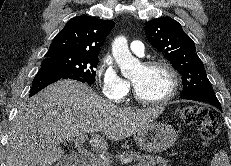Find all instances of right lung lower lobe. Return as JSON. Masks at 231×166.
<instances>
[{"label":"right lung lower lobe","mask_w":231,"mask_h":166,"mask_svg":"<svg viewBox=\"0 0 231 166\" xmlns=\"http://www.w3.org/2000/svg\"><path fill=\"white\" fill-rule=\"evenodd\" d=\"M63 78L85 82L82 78L74 76L72 74L64 73L62 71L51 69V68H40L38 73L33 79L29 96L30 97L33 96L34 94L38 93L40 90L45 88L46 86Z\"/></svg>","instance_id":"right-lung-lower-lobe-1"}]
</instances>
